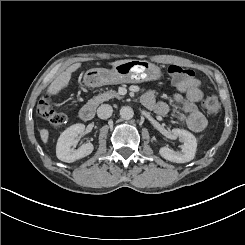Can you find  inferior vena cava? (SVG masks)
<instances>
[{"label": "inferior vena cava", "mask_w": 245, "mask_h": 245, "mask_svg": "<svg viewBox=\"0 0 245 245\" xmlns=\"http://www.w3.org/2000/svg\"><path fill=\"white\" fill-rule=\"evenodd\" d=\"M113 113V108L109 104H102L97 109V115L100 119H108Z\"/></svg>", "instance_id": "1"}]
</instances>
